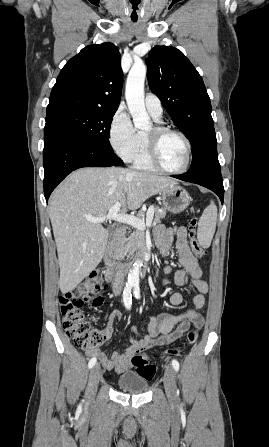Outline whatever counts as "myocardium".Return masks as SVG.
I'll list each match as a JSON object with an SVG mask.
<instances>
[{"instance_id": "myocardium-1", "label": "myocardium", "mask_w": 269, "mask_h": 447, "mask_svg": "<svg viewBox=\"0 0 269 447\" xmlns=\"http://www.w3.org/2000/svg\"><path fill=\"white\" fill-rule=\"evenodd\" d=\"M155 135L146 134V146H147V156L149 162L158 170L169 173V174H179L185 172L191 161L192 155V145L188 136L176 128H171L163 125H156L154 127ZM168 133H173L179 135L186 144V160L184 165L179 169H170L166 167L160 158L159 146H158V137L163 136Z\"/></svg>"}]
</instances>
